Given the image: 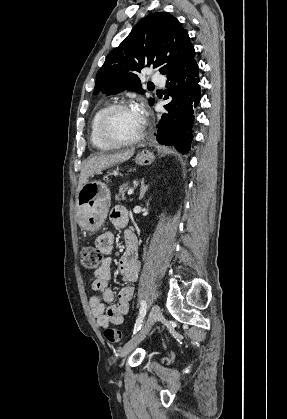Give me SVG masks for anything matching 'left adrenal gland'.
<instances>
[{
  "mask_svg": "<svg viewBox=\"0 0 287 419\" xmlns=\"http://www.w3.org/2000/svg\"><path fill=\"white\" fill-rule=\"evenodd\" d=\"M148 187H149V185H145L144 179H142L141 186H140L139 200H141L144 197L146 191L148 190Z\"/></svg>",
  "mask_w": 287,
  "mask_h": 419,
  "instance_id": "obj_1",
  "label": "left adrenal gland"
}]
</instances>
